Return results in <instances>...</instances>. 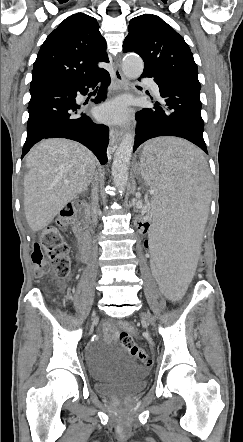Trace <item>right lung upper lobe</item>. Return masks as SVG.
Segmentation results:
<instances>
[{"instance_id": "1", "label": "right lung upper lobe", "mask_w": 243, "mask_h": 442, "mask_svg": "<svg viewBox=\"0 0 243 442\" xmlns=\"http://www.w3.org/2000/svg\"><path fill=\"white\" fill-rule=\"evenodd\" d=\"M106 42L95 18L71 15L46 38L32 70L31 85L48 81H81L103 71L98 62H109Z\"/></svg>"}]
</instances>
